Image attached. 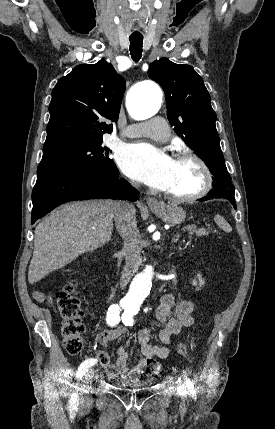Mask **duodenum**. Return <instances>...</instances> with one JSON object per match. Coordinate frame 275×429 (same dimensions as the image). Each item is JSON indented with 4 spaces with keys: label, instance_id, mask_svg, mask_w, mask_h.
<instances>
[{
    "label": "duodenum",
    "instance_id": "1",
    "mask_svg": "<svg viewBox=\"0 0 275 429\" xmlns=\"http://www.w3.org/2000/svg\"><path fill=\"white\" fill-rule=\"evenodd\" d=\"M126 282V276L124 273L121 274V283L124 284Z\"/></svg>",
    "mask_w": 275,
    "mask_h": 429
}]
</instances>
